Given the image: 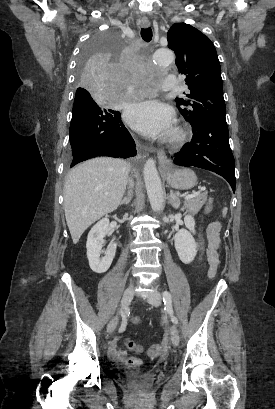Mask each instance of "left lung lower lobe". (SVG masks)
<instances>
[{
    "label": "left lung lower lobe",
    "mask_w": 275,
    "mask_h": 409,
    "mask_svg": "<svg viewBox=\"0 0 275 409\" xmlns=\"http://www.w3.org/2000/svg\"><path fill=\"white\" fill-rule=\"evenodd\" d=\"M192 129L191 142L172 156L173 162L213 171L224 177L235 192V161L229 145L226 121L209 119Z\"/></svg>",
    "instance_id": "0a47b994"
}]
</instances>
